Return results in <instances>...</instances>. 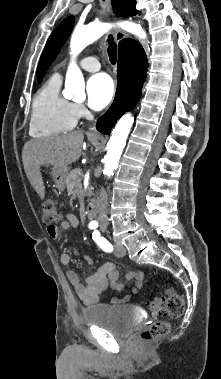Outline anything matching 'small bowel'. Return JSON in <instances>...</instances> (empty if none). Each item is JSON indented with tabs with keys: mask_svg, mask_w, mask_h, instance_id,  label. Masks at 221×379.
Segmentation results:
<instances>
[{
	"mask_svg": "<svg viewBox=\"0 0 221 379\" xmlns=\"http://www.w3.org/2000/svg\"><path fill=\"white\" fill-rule=\"evenodd\" d=\"M78 225V218L72 213H67L59 226L48 228V233L53 239H58L63 232L75 229ZM73 253L84 260L88 266L85 284L81 283L78 275L73 270H68L66 273L69 283L83 304L90 306L99 303L101 295L107 292L109 288L115 291L124 289L125 285L119 282V271L113 263H105L99 268H95L89 256L82 254L76 248L73 249ZM60 261L63 266L68 267L71 257L68 253H63ZM143 278V273L138 270H132L127 274V280L133 282V291L142 287Z\"/></svg>",
	"mask_w": 221,
	"mask_h": 379,
	"instance_id": "small-bowel-1",
	"label": "small bowel"
}]
</instances>
